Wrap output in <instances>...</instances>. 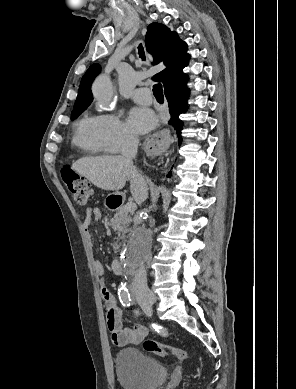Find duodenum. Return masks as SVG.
<instances>
[{
    "label": "duodenum",
    "mask_w": 296,
    "mask_h": 389,
    "mask_svg": "<svg viewBox=\"0 0 296 389\" xmlns=\"http://www.w3.org/2000/svg\"><path fill=\"white\" fill-rule=\"evenodd\" d=\"M120 204H121V200L115 199L109 203V207L111 209H115ZM111 267H112L113 272L116 275H123V273L125 272V270L123 268V264L118 260L113 261Z\"/></svg>",
    "instance_id": "obj_1"
}]
</instances>
